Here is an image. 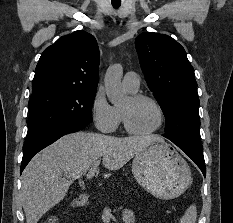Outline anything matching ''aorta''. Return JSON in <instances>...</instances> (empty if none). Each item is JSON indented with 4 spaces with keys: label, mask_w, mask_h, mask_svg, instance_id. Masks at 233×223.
Here are the masks:
<instances>
[{
    "label": "aorta",
    "mask_w": 233,
    "mask_h": 223,
    "mask_svg": "<svg viewBox=\"0 0 233 223\" xmlns=\"http://www.w3.org/2000/svg\"><path fill=\"white\" fill-rule=\"evenodd\" d=\"M123 76V68L121 64H114L109 66L105 74V90L107 98L114 106L124 104L128 96L126 90L122 88L121 78Z\"/></svg>",
    "instance_id": "obj_1"
}]
</instances>
